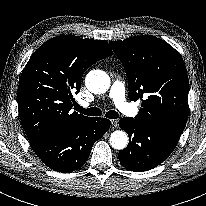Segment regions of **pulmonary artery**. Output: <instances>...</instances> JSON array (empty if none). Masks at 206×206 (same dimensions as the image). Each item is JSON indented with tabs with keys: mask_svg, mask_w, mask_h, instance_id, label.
Masks as SVG:
<instances>
[{
	"mask_svg": "<svg viewBox=\"0 0 206 206\" xmlns=\"http://www.w3.org/2000/svg\"><path fill=\"white\" fill-rule=\"evenodd\" d=\"M109 96L121 112L127 115L134 114V110L131 108V105L125 100V87L122 82H113L110 87ZM83 106L87 107L88 103H83Z\"/></svg>",
	"mask_w": 206,
	"mask_h": 206,
	"instance_id": "1",
	"label": "pulmonary artery"
}]
</instances>
